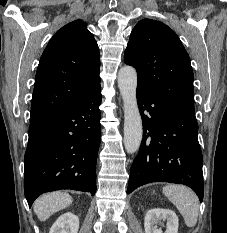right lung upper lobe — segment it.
Segmentation results:
<instances>
[{"label": "right lung upper lobe", "instance_id": "cb5924a9", "mask_svg": "<svg viewBox=\"0 0 227 233\" xmlns=\"http://www.w3.org/2000/svg\"><path fill=\"white\" fill-rule=\"evenodd\" d=\"M98 45L82 20L62 27L49 41L36 72L31 104L35 122L100 86Z\"/></svg>", "mask_w": 227, "mask_h": 233}]
</instances>
